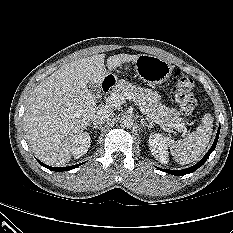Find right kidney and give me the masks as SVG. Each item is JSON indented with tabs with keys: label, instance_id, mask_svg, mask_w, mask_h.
<instances>
[{
	"label": "right kidney",
	"instance_id": "obj_1",
	"mask_svg": "<svg viewBox=\"0 0 233 233\" xmlns=\"http://www.w3.org/2000/svg\"><path fill=\"white\" fill-rule=\"evenodd\" d=\"M90 140L91 138L89 134L84 132L75 138L71 146V151L74 158L78 159L88 151L90 147Z\"/></svg>",
	"mask_w": 233,
	"mask_h": 233
}]
</instances>
